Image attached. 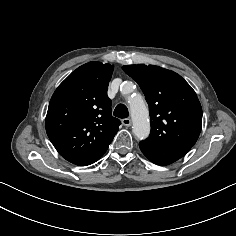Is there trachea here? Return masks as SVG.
I'll return each mask as SVG.
<instances>
[{
  "label": "trachea",
  "mask_w": 236,
  "mask_h": 236,
  "mask_svg": "<svg viewBox=\"0 0 236 236\" xmlns=\"http://www.w3.org/2000/svg\"><path fill=\"white\" fill-rule=\"evenodd\" d=\"M118 118H127L129 115L128 109L124 104H118L113 113Z\"/></svg>",
  "instance_id": "trachea-1"
}]
</instances>
